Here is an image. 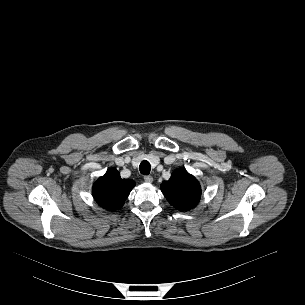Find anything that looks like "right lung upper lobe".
Segmentation results:
<instances>
[{
  "label": "right lung upper lobe",
  "instance_id": "obj_1",
  "mask_svg": "<svg viewBox=\"0 0 305 305\" xmlns=\"http://www.w3.org/2000/svg\"><path fill=\"white\" fill-rule=\"evenodd\" d=\"M134 186L133 180L122 179L119 172L112 168L95 182L93 196L101 207L115 211L123 206Z\"/></svg>",
  "mask_w": 305,
  "mask_h": 305
}]
</instances>
